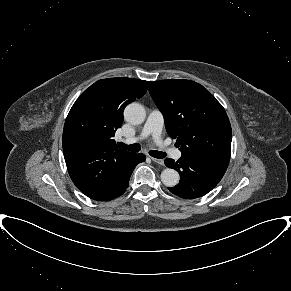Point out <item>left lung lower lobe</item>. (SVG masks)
I'll return each mask as SVG.
<instances>
[{"mask_svg": "<svg viewBox=\"0 0 291 291\" xmlns=\"http://www.w3.org/2000/svg\"><path fill=\"white\" fill-rule=\"evenodd\" d=\"M230 158L182 155L178 161L166 159L165 165L180 174L179 184L168 189L185 199H194L210 192L222 179Z\"/></svg>", "mask_w": 291, "mask_h": 291, "instance_id": "0a47b994", "label": "left lung lower lobe"}]
</instances>
